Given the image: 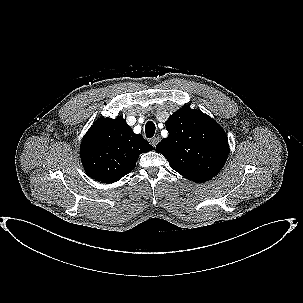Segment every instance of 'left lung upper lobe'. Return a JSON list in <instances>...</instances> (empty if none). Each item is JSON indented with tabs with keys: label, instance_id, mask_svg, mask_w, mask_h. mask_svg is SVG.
<instances>
[{
	"label": "left lung upper lobe",
	"instance_id": "1",
	"mask_svg": "<svg viewBox=\"0 0 303 303\" xmlns=\"http://www.w3.org/2000/svg\"><path fill=\"white\" fill-rule=\"evenodd\" d=\"M169 132L156 146L171 168L185 178L205 182L215 177L228 154V138L211 117L183 106L165 122Z\"/></svg>",
	"mask_w": 303,
	"mask_h": 303
}]
</instances>
